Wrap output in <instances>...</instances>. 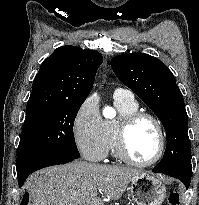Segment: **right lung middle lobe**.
Returning a JSON list of instances; mask_svg holds the SVG:
<instances>
[{"label": "right lung middle lobe", "instance_id": "1", "mask_svg": "<svg viewBox=\"0 0 199 205\" xmlns=\"http://www.w3.org/2000/svg\"><path fill=\"white\" fill-rule=\"evenodd\" d=\"M83 102L51 104L26 112L17 149V173L46 158L80 157L73 126Z\"/></svg>", "mask_w": 199, "mask_h": 205}]
</instances>
